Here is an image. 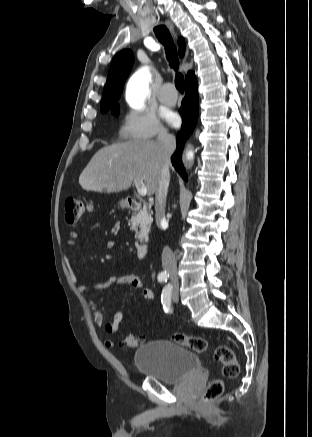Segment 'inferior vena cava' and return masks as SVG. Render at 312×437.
<instances>
[{
    "instance_id": "obj_1",
    "label": "inferior vena cava",
    "mask_w": 312,
    "mask_h": 437,
    "mask_svg": "<svg viewBox=\"0 0 312 437\" xmlns=\"http://www.w3.org/2000/svg\"><path fill=\"white\" fill-rule=\"evenodd\" d=\"M157 140L160 147L159 156L161 161V169L158 179V186L155 193V197H156L155 207H156V222L159 225L160 223L165 222L166 197H167V191L170 181L169 164H170V157L176 149V140L175 137L169 134L166 130H162L159 133ZM162 266L163 269L170 274L177 273L176 258L172 250L168 246H165L163 248Z\"/></svg>"
}]
</instances>
